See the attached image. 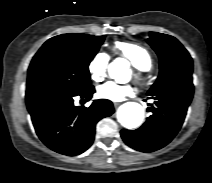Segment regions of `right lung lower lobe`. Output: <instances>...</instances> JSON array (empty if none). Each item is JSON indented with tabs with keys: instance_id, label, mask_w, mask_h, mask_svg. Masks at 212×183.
<instances>
[{
	"instance_id": "obj_1",
	"label": "right lung lower lobe",
	"mask_w": 212,
	"mask_h": 183,
	"mask_svg": "<svg viewBox=\"0 0 212 183\" xmlns=\"http://www.w3.org/2000/svg\"><path fill=\"white\" fill-rule=\"evenodd\" d=\"M94 87L84 91L67 90L46 85L26 88V104L35 131L50 149L74 156L93 143L97 122L114 112L109 100H94L89 108L74 105V97L90 100Z\"/></svg>"
}]
</instances>
